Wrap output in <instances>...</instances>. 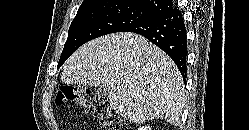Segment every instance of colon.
Here are the masks:
<instances>
[{"mask_svg": "<svg viewBox=\"0 0 249 130\" xmlns=\"http://www.w3.org/2000/svg\"><path fill=\"white\" fill-rule=\"evenodd\" d=\"M55 101L58 105L69 102L80 105L98 119L100 130H121L119 119L109 102L89 89L71 84L62 85Z\"/></svg>", "mask_w": 249, "mask_h": 130, "instance_id": "obj_1", "label": "colon"}]
</instances>
